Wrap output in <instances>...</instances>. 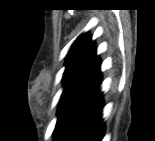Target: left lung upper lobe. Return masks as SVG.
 Segmentation results:
<instances>
[{"label":"left lung upper lobe","mask_w":155,"mask_h":141,"mask_svg":"<svg viewBox=\"0 0 155 141\" xmlns=\"http://www.w3.org/2000/svg\"><path fill=\"white\" fill-rule=\"evenodd\" d=\"M95 43L88 33L79 36L73 43L66 59L63 75L64 90L59 101L54 139L57 140L70 106L83 93L100 68Z\"/></svg>","instance_id":"left-lung-upper-lobe-1"}]
</instances>
